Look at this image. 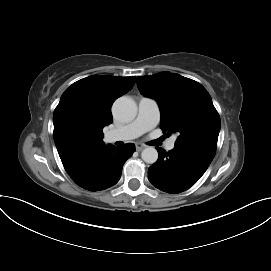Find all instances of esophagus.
<instances>
[{
    "label": "esophagus",
    "mask_w": 271,
    "mask_h": 271,
    "mask_svg": "<svg viewBox=\"0 0 271 271\" xmlns=\"http://www.w3.org/2000/svg\"><path fill=\"white\" fill-rule=\"evenodd\" d=\"M145 147H146V145H144V144H141V143H137V144H136V150H137V151H141V150H143Z\"/></svg>",
    "instance_id": "esophagus-1"
}]
</instances>
